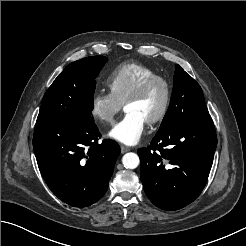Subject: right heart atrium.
Instances as JSON below:
<instances>
[{"label": "right heart atrium", "instance_id": "1", "mask_svg": "<svg viewBox=\"0 0 246 246\" xmlns=\"http://www.w3.org/2000/svg\"><path fill=\"white\" fill-rule=\"evenodd\" d=\"M122 104L109 92H96L90 103L91 116L102 124H112Z\"/></svg>", "mask_w": 246, "mask_h": 246}]
</instances>
